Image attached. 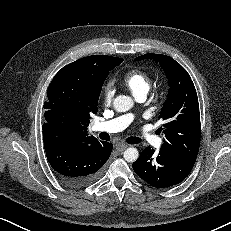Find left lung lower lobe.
Returning a JSON list of instances; mask_svg holds the SVG:
<instances>
[{
    "instance_id": "0a47b994",
    "label": "left lung lower lobe",
    "mask_w": 231,
    "mask_h": 231,
    "mask_svg": "<svg viewBox=\"0 0 231 231\" xmlns=\"http://www.w3.org/2000/svg\"><path fill=\"white\" fill-rule=\"evenodd\" d=\"M196 159L169 154L164 150L154 153L150 147L144 149L133 163L135 173L148 184L165 188L176 185L191 172Z\"/></svg>"
}]
</instances>
